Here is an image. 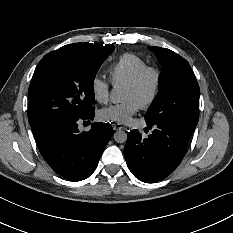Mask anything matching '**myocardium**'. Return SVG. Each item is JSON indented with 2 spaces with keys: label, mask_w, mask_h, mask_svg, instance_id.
Here are the masks:
<instances>
[{
  "label": "myocardium",
  "mask_w": 233,
  "mask_h": 233,
  "mask_svg": "<svg viewBox=\"0 0 233 233\" xmlns=\"http://www.w3.org/2000/svg\"><path fill=\"white\" fill-rule=\"evenodd\" d=\"M147 74H152L154 76V86L151 95L142 104L143 107H149L150 105H152L156 101L160 93L162 84V73L160 69L156 66L146 65L141 68L128 82L124 84L125 87L128 88H137L138 86H140Z\"/></svg>",
  "instance_id": "f54148a6"
}]
</instances>
